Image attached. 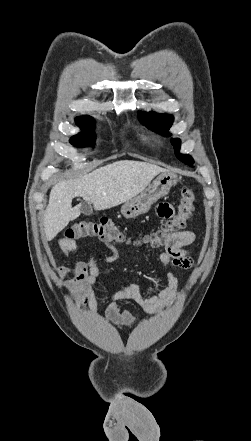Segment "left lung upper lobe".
I'll use <instances>...</instances> for the list:
<instances>
[{
    "instance_id": "1",
    "label": "left lung upper lobe",
    "mask_w": 251,
    "mask_h": 441,
    "mask_svg": "<svg viewBox=\"0 0 251 441\" xmlns=\"http://www.w3.org/2000/svg\"><path fill=\"white\" fill-rule=\"evenodd\" d=\"M140 121L143 125L147 126L163 136H171L168 132L171 127L174 117L168 114H157L155 112L139 113ZM172 144L174 145L176 156L179 160L185 164L192 165L193 159L189 155H182L179 153L180 149V139H172Z\"/></svg>"
}]
</instances>
